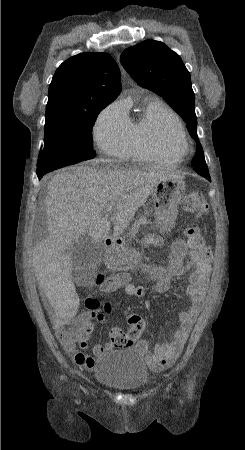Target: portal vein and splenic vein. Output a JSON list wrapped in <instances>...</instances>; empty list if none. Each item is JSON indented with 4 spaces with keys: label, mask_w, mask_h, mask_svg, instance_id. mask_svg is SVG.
<instances>
[{
    "label": "portal vein and splenic vein",
    "mask_w": 245,
    "mask_h": 450,
    "mask_svg": "<svg viewBox=\"0 0 245 450\" xmlns=\"http://www.w3.org/2000/svg\"><path fill=\"white\" fill-rule=\"evenodd\" d=\"M114 207L111 205L106 206V212L111 213L113 211Z\"/></svg>",
    "instance_id": "18ae733b"
}]
</instances>
